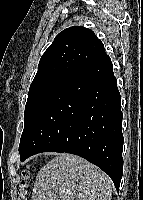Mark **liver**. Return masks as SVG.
<instances>
[{
  "label": "liver",
  "instance_id": "liver-1",
  "mask_svg": "<svg viewBox=\"0 0 143 200\" xmlns=\"http://www.w3.org/2000/svg\"><path fill=\"white\" fill-rule=\"evenodd\" d=\"M110 178L97 166L62 153L37 174L32 200H111Z\"/></svg>",
  "mask_w": 143,
  "mask_h": 200
}]
</instances>
